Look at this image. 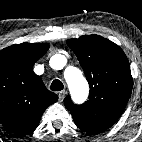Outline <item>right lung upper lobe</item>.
I'll use <instances>...</instances> for the list:
<instances>
[{
    "label": "right lung upper lobe",
    "instance_id": "1",
    "mask_svg": "<svg viewBox=\"0 0 142 142\" xmlns=\"http://www.w3.org/2000/svg\"><path fill=\"white\" fill-rule=\"evenodd\" d=\"M47 43L14 44L0 51V123L11 132H33L42 113L58 100L33 71Z\"/></svg>",
    "mask_w": 142,
    "mask_h": 142
}]
</instances>
